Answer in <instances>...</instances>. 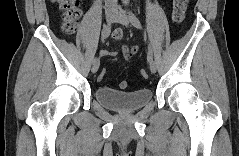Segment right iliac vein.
I'll return each mask as SVG.
<instances>
[{"instance_id":"obj_1","label":"right iliac vein","mask_w":239,"mask_h":156,"mask_svg":"<svg viewBox=\"0 0 239 156\" xmlns=\"http://www.w3.org/2000/svg\"><path fill=\"white\" fill-rule=\"evenodd\" d=\"M115 9L114 8H108L106 10V13H105V18H106V22L109 24L113 21L114 19V16H115ZM98 68H99V60H97L96 62L93 63L92 65V73H96L98 71Z\"/></svg>"}]
</instances>
